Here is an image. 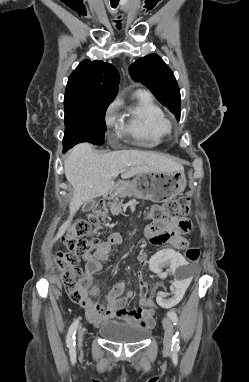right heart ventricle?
<instances>
[{
	"instance_id": "obj_1",
	"label": "right heart ventricle",
	"mask_w": 249,
	"mask_h": 382,
	"mask_svg": "<svg viewBox=\"0 0 249 382\" xmlns=\"http://www.w3.org/2000/svg\"><path fill=\"white\" fill-rule=\"evenodd\" d=\"M170 132L171 127L163 109L150 93L137 91L124 109L119 133L131 136L140 145L154 147Z\"/></svg>"
}]
</instances>
